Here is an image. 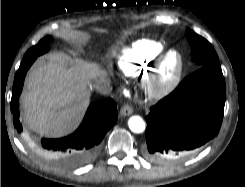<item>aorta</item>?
Listing matches in <instances>:
<instances>
[{"label": "aorta", "mask_w": 245, "mask_h": 187, "mask_svg": "<svg viewBox=\"0 0 245 187\" xmlns=\"http://www.w3.org/2000/svg\"><path fill=\"white\" fill-rule=\"evenodd\" d=\"M128 126L134 133H141L146 128L145 122L140 116H132L128 121Z\"/></svg>", "instance_id": "1"}]
</instances>
